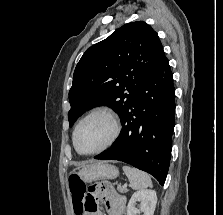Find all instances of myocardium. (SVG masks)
<instances>
[{"mask_svg": "<svg viewBox=\"0 0 223 215\" xmlns=\"http://www.w3.org/2000/svg\"><path fill=\"white\" fill-rule=\"evenodd\" d=\"M94 116L106 117L112 124V134H111L110 138L108 139V141L102 147H100L99 149H97L95 151L84 153V152L79 151L76 146V134H77V131H78L80 125L82 123H84L86 120H88ZM120 132H121V125H120V122H119L117 116L115 115V113L112 110L105 108V107L96 108V109L90 111L87 115H85L82 119H80L78 121V123L76 124L74 131H73V135H72L73 146L75 148V151L79 155L93 156V155L99 154V153L109 149L110 147H112L113 144L118 139Z\"/></svg>", "mask_w": 223, "mask_h": 215, "instance_id": "obj_1", "label": "myocardium"}]
</instances>
